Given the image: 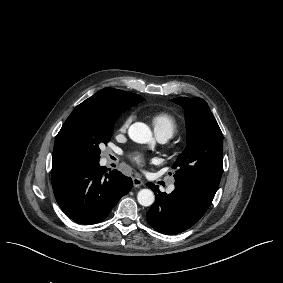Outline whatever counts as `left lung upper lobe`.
<instances>
[{"label": "left lung upper lobe", "mask_w": 283, "mask_h": 283, "mask_svg": "<svg viewBox=\"0 0 283 283\" xmlns=\"http://www.w3.org/2000/svg\"><path fill=\"white\" fill-rule=\"evenodd\" d=\"M172 102L184 107L187 125V146L172 166L175 186L211 204L222 175V132L203 99L183 97Z\"/></svg>", "instance_id": "5c2ea615"}]
</instances>
